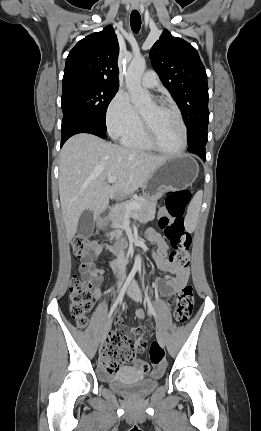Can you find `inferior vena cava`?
I'll list each match as a JSON object with an SVG mask.
<instances>
[{
    "instance_id": "obj_1",
    "label": "inferior vena cava",
    "mask_w": 261,
    "mask_h": 431,
    "mask_svg": "<svg viewBox=\"0 0 261 431\" xmlns=\"http://www.w3.org/2000/svg\"><path fill=\"white\" fill-rule=\"evenodd\" d=\"M119 260L124 261V254L120 253L119 254ZM120 274H125V270L123 269V267H121V270L119 271Z\"/></svg>"
}]
</instances>
